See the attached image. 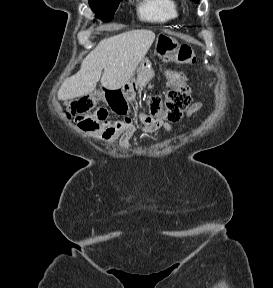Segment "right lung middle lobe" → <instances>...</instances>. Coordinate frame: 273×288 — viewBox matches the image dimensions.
Returning <instances> with one entry per match:
<instances>
[{"mask_svg": "<svg viewBox=\"0 0 273 288\" xmlns=\"http://www.w3.org/2000/svg\"><path fill=\"white\" fill-rule=\"evenodd\" d=\"M121 0H89L91 9L96 13V17L108 22L110 21Z\"/></svg>", "mask_w": 273, "mask_h": 288, "instance_id": "1", "label": "right lung middle lobe"}]
</instances>
